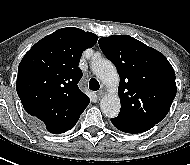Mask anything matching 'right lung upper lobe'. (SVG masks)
<instances>
[{
	"label": "right lung upper lobe",
	"instance_id": "1",
	"mask_svg": "<svg viewBox=\"0 0 190 165\" xmlns=\"http://www.w3.org/2000/svg\"><path fill=\"white\" fill-rule=\"evenodd\" d=\"M98 36L68 27L38 41L18 67L17 93L26 112L53 134L72 129L90 99L80 91L82 52Z\"/></svg>",
	"mask_w": 190,
	"mask_h": 165
}]
</instances>
